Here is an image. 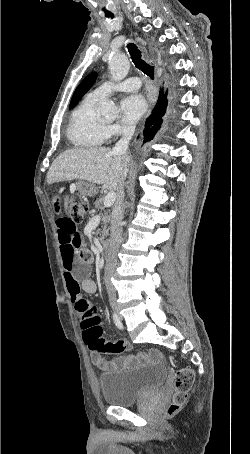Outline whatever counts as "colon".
Segmentation results:
<instances>
[{
    "instance_id": "obj_1",
    "label": "colon",
    "mask_w": 250,
    "mask_h": 454,
    "mask_svg": "<svg viewBox=\"0 0 250 454\" xmlns=\"http://www.w3.org/2000/svg\"><path fill=\"white\" fill-rule=\"evenodd\" d=\"M88 210V203L82 197L75 195L69 204V219L75 224L81 223ZM100 322V317L91 312H88L80 319V325L83 329V340L89 349L100 354H121L127 351L129 346L123 341L110 342L104 338ZM193 382L194 373L191 369L180 368L177 370L175 374V393L167 409L169 414L176 413L185 403Z\"/></svg>"
}]
</instances>
